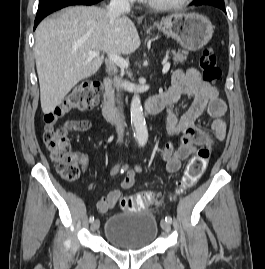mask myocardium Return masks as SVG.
I'll use <instances>...</instances> for the list:
<instances>
[{
  "instance_id": "myocardium-1",
  "label": "myocardium",
  "mask_w": 265,
  "mask_h": 269,
  "mask_svg": "<svg viewBox=\"0 0 265 269\" xmlns=\"http://www.w3.org/2000/svg\"><path fill=\"white\" fill-rule=\"evenodd\" d=\"M142 1L150 7L160 10L180 9L192 2V0H178L173 2H159L155 0H142Z\"/></svg>"
}]
</instances>
